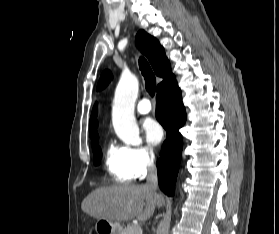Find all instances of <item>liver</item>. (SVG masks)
Masks as SVG:
<instances>
[{"mask_svg": "<svg viewBox=\"0 0 279 234\" xmlns=\"http://www.w3.org/2000/svg\"><path fill=\"white\" fill-rule=\"evenodd\" d=\"M161 203L162 198L146 185L123 184L97 188L83 200L81 209L98 220L121 222L137 217L145 221Z\"/></svg>", "mask_w": 279, "mask_h": 234, "instance_id": "1", "label": "liver"}]
</instances>
